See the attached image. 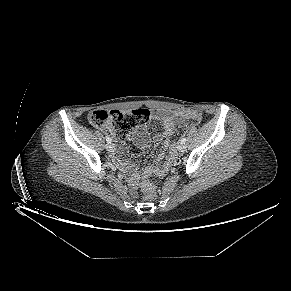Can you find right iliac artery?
I'll list each match as a JSON object with an SVG mask.
<instances>
[{
  "label": "right iliac artery",
  "mask_w": 291,
  "mask_h": 291,
  "mask_svg": "<svg viewBox=\"0 0 291 291\" xmlns=\"http://www.w3.org/2000/svg\"><path fill=\"white\" fill-rule=\"evenodd\" d=\"M106 141L107 143H111V138L108 135H106Z\"/></svg>",
  "instance_id": "1"
}]
</instances>
